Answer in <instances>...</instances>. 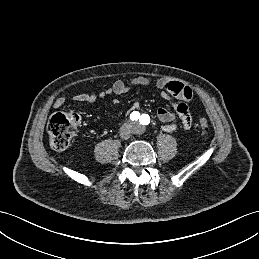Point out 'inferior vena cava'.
<instances>
[{"label": "inferior vena cava", "instance_id": "obj_1", "mask_svg": "<svg viewBox=\"0 0 259 259\" xmlns=\"http://www.w3.org/2000/svg\"><path fill=\"white\" fill-rule=\"evenodd\" d=\"M124 138H125V139H127L128 137H127V136H125Z\"/></svg>", "mask_w": 259, "mask_h": 259}]
</instances>
